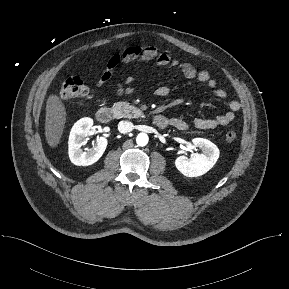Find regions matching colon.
Returning a JSON list of instances; mask_svg holds the SVG:
<instances>
[{
  "instance_id": "1",
  "label": "colon",
  "mask_w": 289,
  "mask_h": 289,
  "mask_svg": "<svg viewBox=\"0 0 289 289\" xmlns=\"http://www.w3.org/2000/svg\"><path fill=\"white\" fill-rule=\"evenodd\" d=\"M60 96L63 99H77L88 101L91 98L90 90L78 75L66 78L60 88ZM237 134L233 130L226 132L225 138L228 142L235 141Z\"/></svg>"
}]
</instances>
